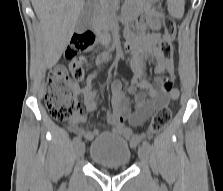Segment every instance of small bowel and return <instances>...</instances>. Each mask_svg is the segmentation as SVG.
Returning <instances> with one entry per match:
<instances>
[{
    "instance_id": "obj_1",
    "label": "small bowel",
    "mask_w": 223,
    "mask_h": 191,
    "mask_svg": "<svg viewBox=\"0 0 223 191\" xmlns=\"http://www.w3.org/2000/svg\"><path fill=\"white\" fill-rule=\"evenodd\" d=\"M147 17H141L139 27L146 32L140 36L134 35L129 30L125 31L130 47L129 64L134 72L135 77L131 81L129 91L134 93L137 89L145 90V93H137L135 96V108L132 110L131 103L123 91L121 81L114 80L110 89L112 93L113 109L106 113L107 124L110 126L108 132L119 133L124 128V123L128 121L132 125L143 124L152 112L159 106L176 100L179 92L173 87L174 72L167 73V77L160 76L164 72V62L159 49L158 42L161 38V12L152 5L145 7ZM120 55V54H119ZM109 55L102 53L97 56L96 64H100L108 60ZM149 59L155 61L154 72L157 75L155 82L159 88H156L149 80L142 78L146 69V62ZM95 75L92 71L84 86H74V91L78 94L87 112H94L98 109L96 96L97 90L91 87V81ZM87 114L80 113L76 115L70 122L69 130L77 135L83 136L87 140H93L102 134L100 129L89 130L82 126L86 121Z\"/></svg>"
}]
</instances>
